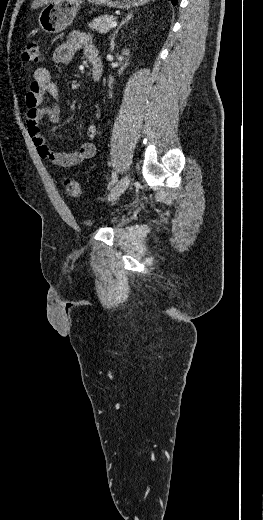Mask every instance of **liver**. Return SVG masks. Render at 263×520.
<instances>
[{
  "label": "liver",
  "instance_id": "liver-1",
  "mask_svg": "<svg viewBox=\"0 0 263 520\" xmlns=\"http://www.w3.org/2000/svg\"><path fill=\"white\" fill-rule=\"evenodd\" d=\"M61 0H33L31 8L37 9L39 7H42L43 5H47L51 2H60Z\"/></svg>",
  "mask_w": 263,
  "mask_h": 520
}]
</instances>
